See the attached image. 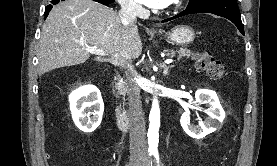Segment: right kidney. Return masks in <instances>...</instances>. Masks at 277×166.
<instances>
[{
    "mask_svg": "<svg viewBox=\"0 0 277 166\" xmlns=\"http://www.w3.org/2000/svg\"><path fill=\"white\" fill-rule=\"evenodd\" d=\"M70 111L75 125L83 132H93L101 123L104 103L93 85L82 86L69 95Z\"/></svg>",
    "mask_w": 277,
    "mask_h": 166,
    "instance_id": "obj_1",
    "label": "right kidney"
}]
</instances>
